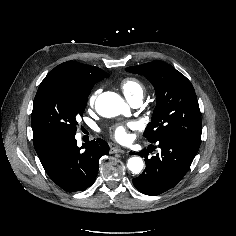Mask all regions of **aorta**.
<instances>
[{"label":"aorta","mask_w":236,"mask_h":236,"mask_svg":"<svg viewBox=\"0 0 236 236\" xmlns=\"http://www.w3.org/2000/svg\"><path fill=\"white\" fill-rule=\"evenodd\" d=\"M96 110L103 117H115L127 109L124 100L114 92H104L96 100ZM127 167L132 173H139L144 167L141 157L133 156L128 159Z\"/></svg>","instance_id":"aorta-1"}]
</instances>
